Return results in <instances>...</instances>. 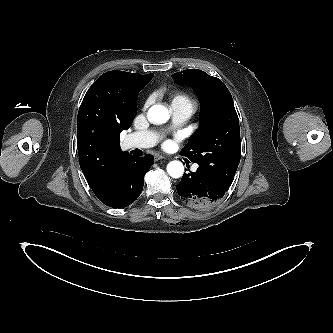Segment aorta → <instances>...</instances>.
I'll return each mask as SVG.
<instances>
[{"label":"aorta","mask_w":333,"mask_h":333,"mask_svg":"<svg viewBox=\"0 0 333 333\" xmlns=\"http://www.w3.org/2000/svg\"><path fill=\"white\" fill-rule=\"evenodd\" d=\"M170 118L169 111L162 105H153L148 111V119L156 124H163ZM167 172L173 178H179L184 173V166L180 161L174 160L167 165Z\"/></svg>","instance_id":"762f6f07"}]
</instances>
